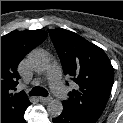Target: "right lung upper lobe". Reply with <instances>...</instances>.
I'll return each mask as SVG.
<instances>
[{"instance_id":"right-lung-upper-lobe-1","label":"right lung upper lobe","mask_w":123,"mask_h":123,"mask_svg":"<svg viewBox=\"0 0 123 123\" xmlns=\"http://www.w3.org/2000/svg\"><path fill=\"white\" fill-rule=\"evenodd\" d=\"M47 35L44 30H25L12 31L1 37V120L20 116L31 104L23 91L12 93L20 78L17 67Z\"/></svg>"}]
</instances>
